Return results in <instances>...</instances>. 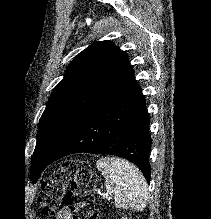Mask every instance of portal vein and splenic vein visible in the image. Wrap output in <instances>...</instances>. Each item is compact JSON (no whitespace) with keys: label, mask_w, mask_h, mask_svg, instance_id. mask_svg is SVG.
Wrapping results in <instances>:
<instances>
[{"label":"portal vein and splenic vein","mask_w":211,"mask_h":219,"mask_svg":"<svg viewBox=\"0 0 211 219\" xmlns=\"http://www.w3.org/2000/svg\"><path fill=\"white\" fill-rule=\"evenodd\" d=\"M104 198L110 199V197H109L108 194H106V195L104 196Z\"/></svg>","instance_id":"18ae733b"}]
</instances>
